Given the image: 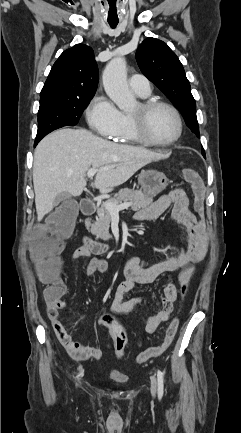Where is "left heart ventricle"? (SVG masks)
I'll return each mask as SVG.
<instances>
[{"mask_svg":"<svg viewBox=\"0 0 241 433\" xmlns=\"http://www.w3.org/2000/svg\"><path fill=\"white\" fill-rule=\"evenodd\" d=\"M140 106L137 105L131 114H139ZM147 131L150 137L158 142L172 140L178 131L177 121L173 113L163 107L153 110L147 119Z\"/></svg>","mask_w":241,"mask_h":433,"instance_id":"1","label":"left heart ventricle"}]
</instances>
